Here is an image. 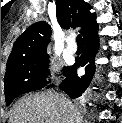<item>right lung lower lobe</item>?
Returning <instances> with one entry per match:
<instances>
[{"instance_id":"1","label":"right lung lower lobe","mask_w":122,"mask_h":123,"mask_svg":"<svg viewBox=\"0 0 122 123\" xmlns=\"http://www.w3.org/2000/svg\"><path fill=\"white\" fill-rule=\"evenodd\" d=\"M84 40L85 52L81 55V58L76 60L73 66L68 67L65 72L67 78L60 85V89L65 91L72 99L82 96L93 80L96 69L94 60L99 50L98 29L88 35ZM79 66L85 67L86 73L84 76H77L76 69ZM52 86H47V88Z\"/></svg>"}]
</instances>
